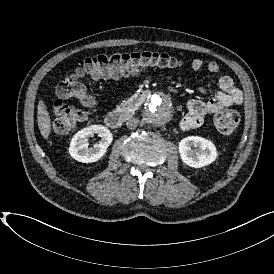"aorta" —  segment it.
Instances as JSON below:
<instances>
[{
  "instance_id": "1",
  "label": "aorta",
  "mask_w": 274,
  "mask_h": 274,
  "mask_svg": "<svg viewBox=\"0 0 274 274\" xmlns=\"http://www.w3.org/2000/svg\"><path fill=\"white\" fill-rule=\"evenodd\" d=\"M173 111L169 96L154 94L144 110V120L155 127L163 126L172 119Z\"/></svg>"
}]
</instances>
